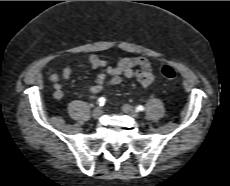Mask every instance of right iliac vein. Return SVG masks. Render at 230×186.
<instances>
[{"mask_svg":"<svg viewBox=\"0 0 230 186\" xmlns=\"http://www.w3.org/2000/svg\"><path fill=\"white\" fill-rule=\"evenodd\" d=\"M103 114V109L101 107H97L92 112V117L94 119H99Z\"/></svg>","mask_w":230,"mask_h":186,"instance_id":"1","label":"right iliac vein"}]
</instances>
